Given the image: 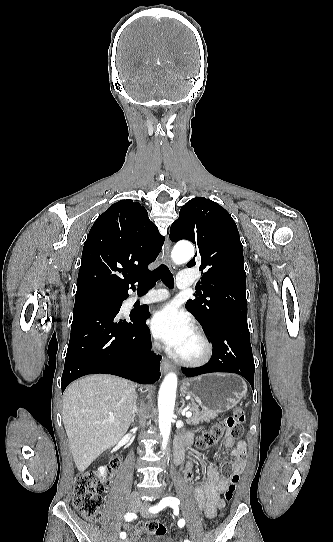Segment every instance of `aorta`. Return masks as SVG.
<instances>
[{
  "label": "aorta",
  "mask_w": 333,
  "mask_h": 542,
  "mask_svg": "<svg viewBox=\"0 0 333 542\" xmlns=\"http://www.w3.org/2000/svg\"><path fill=\"white\" fill-rule=\"evenodd\" d=\"M173 254H177V264H185L194 256V248L191 244H176ZM178 378L174 372H169L165 376L159 390L158 410H159V430L163 438L162 448H166L168 438L171 432V422L174 416V406L176 398Z\"/></svg>",
  "instance_id": "1"
}]
</instances>
